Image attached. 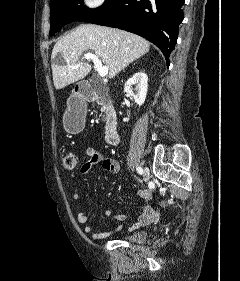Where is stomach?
<instances>
[{"instance_id": "1", "label": "stomach", "mask_w": 240, "mask_h": 281, "mask_svg": "<svg viewBox=\"0 0 240 281\" xmlns=\"http://www.w3.org/2000/svg\"><path fill=\"white\" fill-rule=\"evenodd\" d=\"M85 117V104L77 98L75 93V95L70 98L63 115V126L65 130L73 134L80 132L84 126Z\"/></svg>"}]
</instances>
